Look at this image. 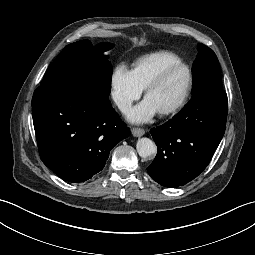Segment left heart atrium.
<instances>
[{
    "label": "left heart atrium",
    "mask_w": 255,
    "mask_h": 255,
    "mask_svg": "<svg viewBox=\"0 0 255 255\" xmlns=\"http://www.w3.org/2000/svg\"><path fill=\"white\" fill-rule=\"evenodd\" d=\"M156 112V108L145 99L128 112V118L134 122H146L149 121Z\"/></svg>",
    "instance_id": "1"
}]
</instances>
